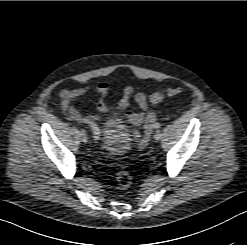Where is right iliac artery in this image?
I'll use <instances>...</instances> for the list:
<instances>
[{
    "label": "right iliac artery",
    "instance_id": "82829eb1",
    "mask_svg": "<svg viewBox=\"0 0 247 245\" xmlns=\"http://www.w3.org/2000/svg\"><path fill=\"white\" fill-rule=\"evenodd\" d=\"M84 121L86 124H88L91 127L92 132H93L92 140H93V143H96L99 139V134H100L98 126L87 118L84 119Z\"/></svg>",
    "mask_w": 247,
    "mask_h": 245
}]
</instances>
